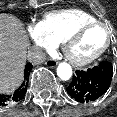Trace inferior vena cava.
Listing matches in <instances>:
<instances>
[{"label":"inferior vena cava","mask_w":117,"mask_h":117,"mask_svg":"<svg viewBox=\"0 0 117 117\" xmlns=\"http://www.w3.org/2000/svg\"><path fill=\"white\" fill-rule=\"evenodd\" d=\"M27 58L34 64H40L46 60V53L42 48L34 46L28 50Z\"/></svg>","instance_id":"obj_1"}]
</instances>
